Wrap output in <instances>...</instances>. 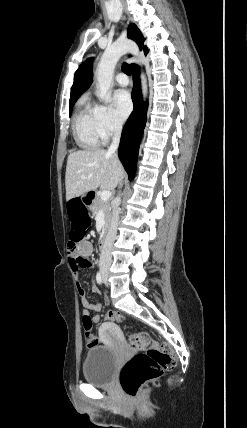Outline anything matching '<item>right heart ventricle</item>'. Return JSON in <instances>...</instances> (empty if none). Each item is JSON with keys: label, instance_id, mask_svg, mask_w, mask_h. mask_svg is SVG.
Segmentation results:
<instances>
[{"label": "right heart ventricle", "instance_id": "obj_1", "mask_svg": "<svg viewBox=\"0 0 247 428\" xmlns=\"http://www.w3.org/2000/svg\"><path fill=\"white\" fill-rule=\"evenodd\" d=\"M94 108L90 102L84 100L74 115V138L77 144L84 149L98 147L101 140L96 127Z\"/></svg>", "mask_w": 247, "mask_h": 428}]
</instances>
